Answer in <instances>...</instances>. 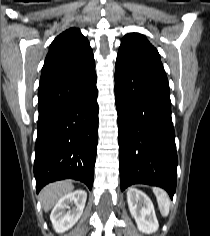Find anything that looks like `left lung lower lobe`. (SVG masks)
<instances>
[{"label":"left lung lower lobe","mask_w":210,"mask_h":236,"mask_svg":"<svg viewBox=\"0 0 210 236\" xmlns=\"http://www.w3.org/2000/svg\"><path fill=\"white\" fill-rule=\"evenodd\" d=\"M121 190L143 183L172 198L177 182L175 132L166 76L115 67Z\"/></svg>","instance_id":"0a47b994"}]
</instances>
